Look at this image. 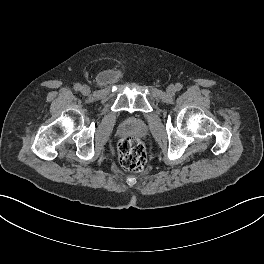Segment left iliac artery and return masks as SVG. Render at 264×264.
<instances>
[{
  "label": "left iliac artery",
  "instance_id": "44dca946",
  "mask_svg": "<svg viewBox=\"0 0 264 264\" xmlns=\"http://www.w3.org/2000/svg\"><path fill=\"white\" fill-rule=\"evenodd\" d=\"M175 88H176L177 91H180L182 89V85L180 83H177L175 85Z\"/></svg>",
  "mask_w": 264,
  "mask_h": 264
}]
</instances>
